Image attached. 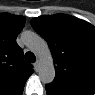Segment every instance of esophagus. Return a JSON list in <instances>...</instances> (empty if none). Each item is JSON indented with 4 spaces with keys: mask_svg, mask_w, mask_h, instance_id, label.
I'll list each match as a JSON object with an SVG mask.
<instances>
[{
    "mask_svg": "<svg viewBox=\"0 0 95 95\" xmlns=\"http://www.w3.org/2000/svg\"><path fill=\"white\" fill-rule=\"evenodd\" d=\"M39 65H40V62H39V60H37V61L34 63V69H35V71H38V70H39Z\"/></svg>",
    "mask_w": 95,
    "mask_h": 95,
    "instance_id": "obj_1",
    "label": "esophagus"
}]
</instances>
